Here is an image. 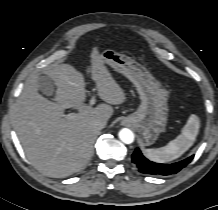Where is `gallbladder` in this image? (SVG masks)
I'll list each match as a JSON object with an SVG mask.
<instances>
[{"label":"gallbladder","mask_w":218,"mask_h":210,"mask_svg":"<svg viewBox=\"0 0 218 210\" xmlns=\"http://www.w3.org/2000/svg\"><path fill=\"white\" fill-rule=\"evenodd\" d=\"M38 89L46 96H53L55 85L48 75H40L38 78Z\"/></svg>","instance_id":"obj_1"}]
</instances>
